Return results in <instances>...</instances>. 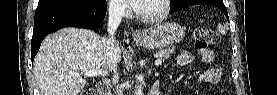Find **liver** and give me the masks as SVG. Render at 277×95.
Wrapping results in <instances>:
<instances>
[{
    "instance_id": "obj_1",
    "label": "liver",
    "mask_w": 277,
    "mask_h": 95,
    "mask_svg": "<svg viewBox=\"0 0 277 95\" xmlns=\"http://www.w3.org/2000/svg\"><path fill=\"white\" fill-rule=\"evenodd\" d=\"M106 42L91 30L77 28H64L45 37L34 59V78L41 95H78L86 84L81 76L84 72L108 70ZM120 61L119 48L117 63Z\"/></svg>"
}]
</instances>
